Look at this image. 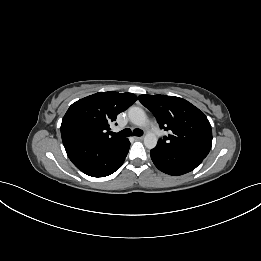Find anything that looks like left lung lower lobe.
Instances as JSON below:
<instances>
[{"mask_svg": "<svg viewBox=\"0 0 261 261\" xmlns=\"http://www.w3.org/2000/svg\"><path fill=\"white\" fill-rule=\"evenodd\" d=\"M155 166L169 175H182L194 170L203 161V157L185 151L174 150L157 144L150 151Z\"/></svg>", "mask_w": 261, "mask_h": 261, "instance_id": "1", "label": "left lung lower lobe"}]
</instances>
